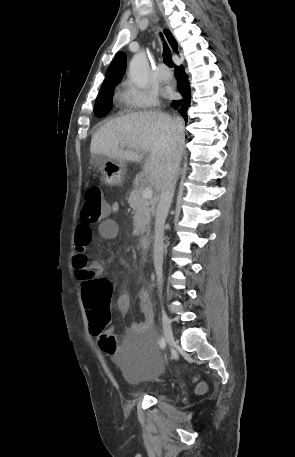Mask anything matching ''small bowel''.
Returning <instances> with one entry per match:
<instances>
[{"label":"small bowel","mask_w":295,"mask_h":457,"mask_svg":"<svg viewBox=\"0 0 295 457\" xmlns=\"http://www.w3.org/2000/svg\"><path fill=\"white\" fill-rule=\"evenodd\" d=\"M119 203L113 202L108 205L109 214L117 213L119 211ZM108 214V216H109ZM103 220L98 226V232L102 239L113 240L118 236V224L117 222L108 217ZM92 241V230L90 227L79 225L76 229L75 234V245L76 253H85L86 248ZM90 269L95 275L100 276L103 272V265L101 261L94 260L90 264ZM102 280V279H100ZM139 304L141 312L144 316L142 322L133 323L131 325L130 331L136 335H142L144 338H154L152 327L154 322V312L151 304L149 294L146 289L141 288L138 293ZM116 306L118 311L125 315L129 312L131 306L130 294L127 290L123 291L116 300ZM111 333V332H110ZM112 334V333H111ZM116 341V339H114Z\"/></svg>","instance_id":"small-bowel-1"}]
</instances>
